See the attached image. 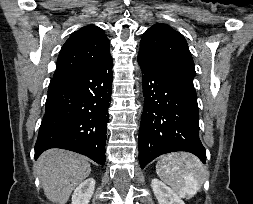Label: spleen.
I'll return each mask as SVG.
<instances>
[{"instance_id":"obj_1","label":"spleen","mask_w":253,"mask_h":204,"mask_svg":"<svg viewBox=\"0 0 253 204\" xmlns=\"http://www.w3.org/2000/svg\"><path fill=\"white\" fill-rule=\"evenodd\" d=\"M156 173L181 197L192 198L201 189L207 172L201 161L191 153H170L160 158Z\"/></svg>"}]
</instances>
